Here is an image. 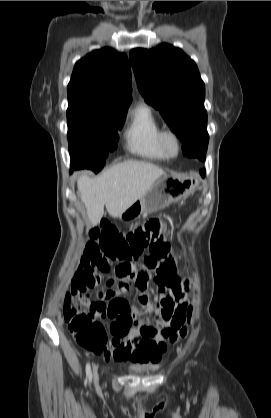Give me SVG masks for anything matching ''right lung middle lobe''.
<instances>
[{"instance_id": "right-lung-middle-lobe-1", "label": "right lung middle lobe", "mask_w": 271, "mask_h": 418, "mask_svg": "<svg viewBox=\"0 0 271 418\" xmlns=\"http://www.w3.org/2000/svg\"><path fill=\"white\" fill-rule=\"evenodd\" d=\"M126 113L68 106V140L71 166L100 171L108 151L117 147L118 131Z\"/></svg>"}]
</instances>
